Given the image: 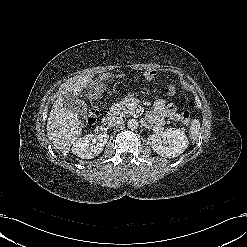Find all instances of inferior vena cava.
Segmentation results:
<instances>
[{"label":"inferior vena cava","instance_id":"1","mask_svg":"<svg viewBox=\"0 0 247 247\" xmlns=\"http://www.w3.org/2000/svg\"><path fill=\"white\" fill-rule=\"evenodd\" d=\"M122 122H123V119L121 117H116V116H108L107 117V123L111 127L119 125Z\"/></svg>","mask_w":247,"mask_h":247}]
</instances>
